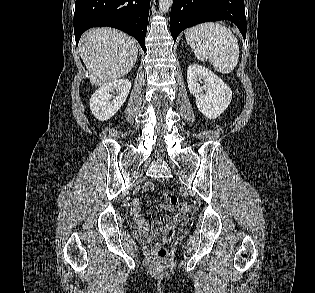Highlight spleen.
<instances>
[{
	"instance_id": "3e777b00",
	"label": "spleen",
	"mask_w": 315,
	"mask_h": 293,
	"mask_svg": "<svg viewBox=\"0 0 315 293\" xmlns=\"http://www.w3.org/2000/svg\"><path fill=\"white\" fill-rule=\"evenodd\" d=\"M185 37L196 58L207 61L223 74L232 72L239 60V45L231 30L220 23L207 22L188 29Z\"/></svg>"
}]
</instances>
